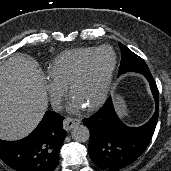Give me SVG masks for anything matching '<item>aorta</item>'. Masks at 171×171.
I'll return each instance as SVG.
<instances>
[{"label":"aorta","mask_w":171,"mask_h":171,"mask_svg":"<svg viewBox=\"0 0 171 171\" xmlns=\"http://www.w3.org/2000/svg\"><path fill=\"white\" fill-rule=\"evenodd\" d=\"M72 139L76 142H86L89 140V129L82 124H76L71 131Z\"/></svg>","instance_id":"1"}]
</instances>
